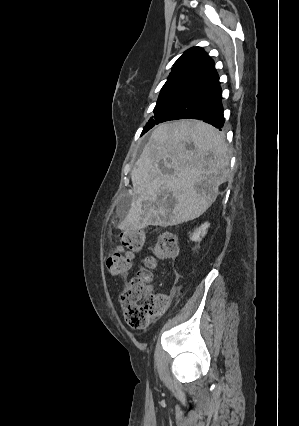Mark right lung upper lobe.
I'll return each mask as SVG.
<instances>
[{"label": "right lung upper lobe", "instance_id": "right-lung-upper-lobe-1", "mask_svg": "<svg viewBox=\"0 0 299 426\" xmlns=\"http://www.w3.org/2000/svg\"><path fill=\"white\" fill-rule=\"evenodd\" d=\"M219 79L213 60L200 47L188 49L175 62L164 85L186 84L195 87Z\"/></svg>", "mask_w": 299, "mask_h": 426}]
</instances>
